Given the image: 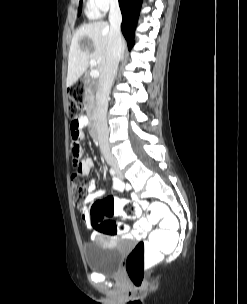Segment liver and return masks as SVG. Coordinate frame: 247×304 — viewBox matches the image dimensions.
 I'll return each instance as SVG.
<instances>
[{
  "instance_id": "liver-1",
  "label": "liver",
  "mask_w": 247,
  "mask_h": 304,
  "mask_svg": "<svg viewBox=\"0 0 247 304\" xmlns=\"http://www.w3.org/2000/svg\"><path fill=\"white\" fill-rule=\"evenodd\" d=\"M110 26L105 21L91 22L79 27L73 35L69 57L66 86H72L87 70L89 61H96L99 74L104 70ZM125 41L122 40V51Z\"/></svg>"
}]
</instances>
